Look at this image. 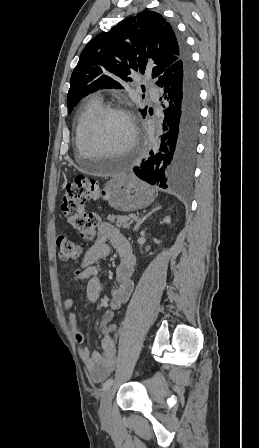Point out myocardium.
<instances>
[{"label":"myocardium","mask_w":259,"mask_h":448,"mask_svg":"<svg viewBox=\"0 0 259 448\" xmlns=\"http://www.w3.org/2000/svg\"><path fill=\"white\" fill-rule=\"evenodd\" d=\"M111 114H117L122 116L127 120L131 127V139L129 144L120 150V154L130 151L137 142L138 130L136 124L124 104H109L103 105L101 108L85 123L81 132V147L82 150L79 151L77 158L78 163H83L82 153L83 150L95 149L92 144V134L98 123L106 116Z\"/></svg>","instance_id":"obj_1"}]
</instances>
